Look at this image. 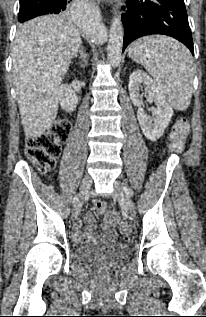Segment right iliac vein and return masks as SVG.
<instances>
[{
	"label": "right iliac vein",
	"mask_w": 206,
	"mask_h": 317,
	"mask_svg": "<svg viewBox=\"0 0 206 317\" xmlns=\"http://www.w3.org/2000/svg\"><path fill=\"white\" fill-rule=\"evenodd\" d=\"M92 184V179L90 176H85L82 180L81 186H80V197L77 200V202L74 205L73 209V215L75 218H77L81 212L82 207V198L83 196L88 192L90 186Z\"/></svg>",
	"instance_id": "right-iliac-vein-1"
}]
</instances>
